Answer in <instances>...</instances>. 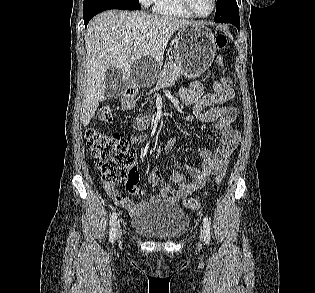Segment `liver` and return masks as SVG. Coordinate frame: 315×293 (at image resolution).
Returning <instances> with one entry per match:
<instances>
[{
	"label": "liver",
	"mask_w": 315,
	"mask_h": 293,
	"mask_svg": "<svg viewBox=\"0 0 315 293\" xmlns=\"http://www.w3.org/2000/svg\"><path fill=\"white\" fill-rule=\"evenodd\" d=\"M198 22L151 15L142 11H105L93 18L86 30V89L81 120L87 126L100 101L107 99L105 74L109 68L123 71L128 79L131 65L141 57L162 63L168 41L175 31ZM139 41L137 46L134 42Z\"/></svg>",
	"instance_id": "obj_1"
}]
</instances>
